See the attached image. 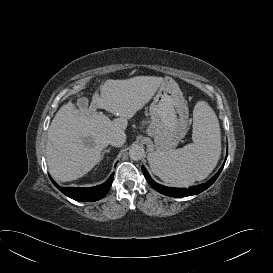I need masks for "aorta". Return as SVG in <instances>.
Segmentation results:
<instances>
[{
    "instance_id": "1",
    "label": "aorta",
    "mask_w": 273,
    "mask_h": 273,
    "mask_svg": "<svg viewBox=\"0 0 273 273\" xmlns=\"http://www.w3.org/2000/svg\"><path fill=\"white\" fill-rule=\"evenodd\" d=\"M129 156L132 160L138 161L144 158L145 150L142 145L135 144L129 150Z\"/></svg>"
}]
</instances>
